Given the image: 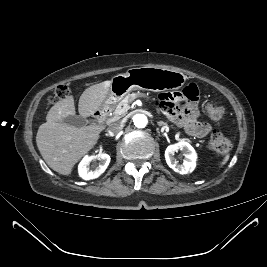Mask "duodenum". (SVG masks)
<instances>
[{
    "label": "duodenum",
    "mask_w": 267,
    "mask_h": 267,
    "mask_svg": "<svg viewBox=\"0 0 267 267\" xmlns=\"http://www.w3.org/2000/svg\"><path fill=\"white\" fill-rule=\"evenodd\" d=\"M107 115L106 108H100L93 113V119L99 123H103Z\"/></svg>",
    "instance_id": "obj_1"
}]
</instances>
